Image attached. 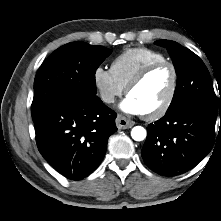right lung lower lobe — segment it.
<instances>
[{"label":"right lung lower lobe","instance_id":"right-lung-lower-lobe-1","mask_svg":"<svg viewBox=\"0 0 221 221\" xmlns=\"http://www.w3.org/2000/svg\"><path fill=\"white\" fill-rule=\"evenodd\" d=\"M116 116L97 96L60 97L33 117L38 150L61 175L81 180L102 162Z\"/></svg>","mask_w":221,"mask_h":221}]
</instances>
